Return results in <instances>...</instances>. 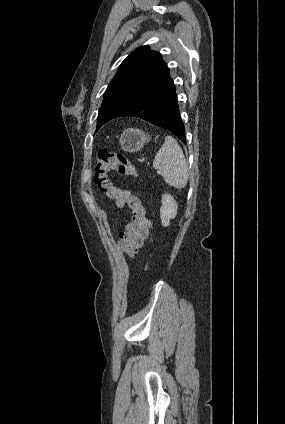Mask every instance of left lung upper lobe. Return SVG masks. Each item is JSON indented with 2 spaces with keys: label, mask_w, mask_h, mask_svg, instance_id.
Here are the masks:
<instances>
[{
  "label": "left lung upper lobe",
  "mask_w": 285,
  "mask_h": 424,
  "mask_svg": "<svg viewBox=\"0 0 285 424\" xmlns=\"http://www.w3.org/2000/svg\"><path fill=\"white\" fill-rule=\"evenodd\" d=\"M167 67L159 52L141 46L120 65L108 85L97 118V130L106 123L111 111L142 88L154 81Z\"/></svg>",
  "instance_id": "left-lung-upper-lobe-1"
}]
</instances>
